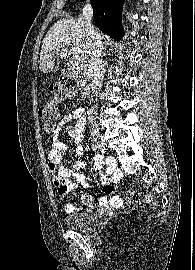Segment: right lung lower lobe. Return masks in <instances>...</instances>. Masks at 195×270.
<instances>
[{
	"label": "right lung lower lobe",
	"instance_id": "98d812e1",
	"mask_svg": "<svg viewBox=\"0 0 195 270\" xmlns=\"http://www.w3.org/2000/svg\"><path fill=\"white\" fill-rule=\"evenodd\" d=\"M91 4L94 21L98 28L114 40L123 38L122 7L124 0H91Z\"/></svg>",
	"mask_w": 195,
	"mask_h": 270
}]
</instances>
